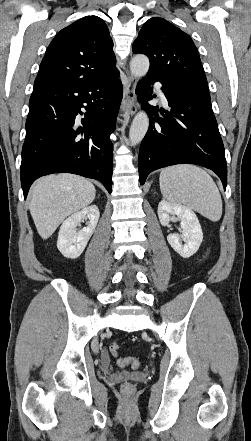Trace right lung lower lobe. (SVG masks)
<instances>
[{
    "label": "right lung lower lobe",
    "mask_w": 251,
    "mask_h": 441,
    "mask_svg": "<svg viewBox=\"0 0 251 441\" xmlns=\"http://www.w3.org/2000/svg\"><path fill=\"white\" fill-rule=\"evenodd\" d=\"M121 100L118 70L90 82L33 91L22 148L25 199L37 178L57 172L99 180L111 193L113 145L109 137ZM82 107L87 112L79 119Z\"/></svg>",
    "instance_id": "obj_1"
}]
</instances>
